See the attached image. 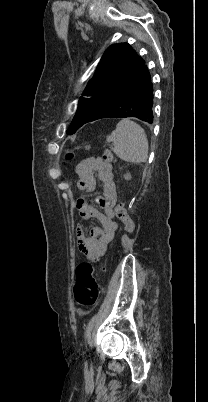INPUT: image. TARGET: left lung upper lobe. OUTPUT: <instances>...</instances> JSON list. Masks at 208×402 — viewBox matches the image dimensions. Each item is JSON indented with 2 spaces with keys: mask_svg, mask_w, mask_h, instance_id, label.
Listing matches in <instances>:
<instances>
[{
  "mask_svg": "<svg viewBox=\"0 0 208 402\" xmlns=\"http://www.w3.org/2000/svg\"><path fill=\"white\" fill-rule=\"evenodd\" d=\"M145 62L127 44L110 46L103 54L96 72L80 97L77 112L67 133H75L115 103L134 80Z\"/></svg>",
  "mask_w": 208,
  "mask_h": 402,
  "instance_id": "left-lung-upper-lobe-1",
  "label": "left lung upper lobe"
}]
</instances>
